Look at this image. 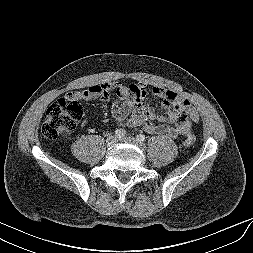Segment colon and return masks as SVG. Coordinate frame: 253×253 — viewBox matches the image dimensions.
<instances>
[{"mask_svg": "<svg viewBox=\"0 0 253 253\" xmlns=\"http://www.w3.org/2000/svg\"><path fill=\"white\" fill-rule=\"evenodd\" d=\"M82 106L77 100L61 98L50 105L46 112L42 125V134L46 139L55 140L62 135L71 132L82 117ZM191 147L195 143V137L188 135L184 141Z\"/></svg>", "mask_w": 253, "mask_h": 253, "instance_id": "1", "label": "colon"}]
</instances>
